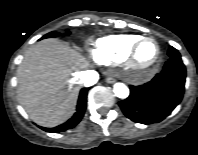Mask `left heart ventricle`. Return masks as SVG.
Returning <instances> with one entry per match:
<instances>
[{"mask_svg":"<svg viewBox=\"0 0 198 155\" xmlns=\"http://www.w3.org/2000/svg\"><path fill=\"white\" fill-rule=\"evenodd\" d=\"M156 54V46L152 42L143 43L138 50V59L147 63L151 61Z\"/></svg>","mask_w":198,"mask_h":155,"instance_id":"obj_1","label":"left heart ventricle"}]
</instances>
